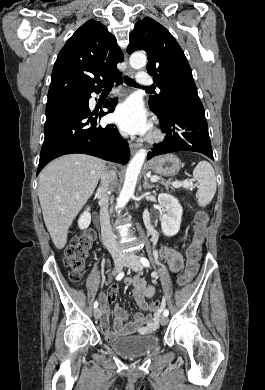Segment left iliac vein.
I'll use <instances>...</instances> for the list:
<instances>
[{
    "instance_id": "1",
    "label": "left iliac vein",
    "mask_w": 265,
    "mask_h": 390,
    "mask_svg": "<svg viewBox=\"0 0 265 390\" xmlns=\"http://www.w3.org/2000/svg\"><path fill=\"white\" fill-rule=\"evenodd\" d=\"M125 266L131 268L132 270L139 272L142 271L143 266L138 260V258L134 254H127L125 256ZM160 323L162 325H166L168 323V318L167 316H161L160 317Z\"/></svg>"
}]
</instances>
